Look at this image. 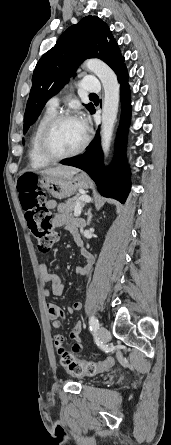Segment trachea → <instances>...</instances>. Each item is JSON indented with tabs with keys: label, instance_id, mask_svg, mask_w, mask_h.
I'll use <instances>...</instances> for the list:
<instances>
[{
	"label": "trachea",
	"instance_id": "trachea-1",
	"mask_svg": "<svg viewBox=\"0 0 171 445\" xmlns=\"http://www.w3.org/2000/svg\"><path fill=\"white\" fill-rule=\"evenodd\" d=\"M90 97H98L96 94L92 93L89 95Z\"/></svg>",
	"mask_w": 171,
	"mask_h": 445
}]
</instances>
